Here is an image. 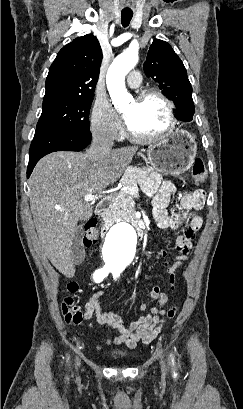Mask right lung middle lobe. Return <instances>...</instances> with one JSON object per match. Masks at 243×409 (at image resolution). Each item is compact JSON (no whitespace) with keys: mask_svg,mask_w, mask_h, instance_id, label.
<instances>
[{"mask_svg":"<svg viewBox=\"0 0 243 409\" xmlns=\"http://www.w3.org/2000/svg\"><path fill=\"white\" fill-rule=\"evenodd\" d=\"M93 97L43 101L37 129L64 133H90L89 111Z\"/></svg>","mask_w":243,"mask_h":409,"instance_id":"right-lung-middle-lobe-1","label":"right lung middle lobe"}]
</instances>
